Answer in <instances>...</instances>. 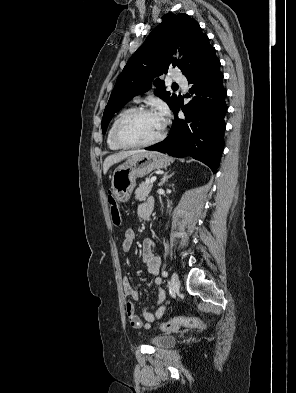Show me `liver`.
Returning a JSON list of instances; mask_svg holds the SVG:
<instances>
[{
    "instance_id": "obj_1",
    "label": "liver",
    "mask_w": 296,
    "mask_h": 393,
    "mask_svg": "<svg viewBox=\"0 0 296 393\" xmlns=\"http://www.w3.org/2000/svg\"><path fill=\"white\" fill-rule=\"evenodd\" d=\"M147 151L145 150H135V151H124V152H119L113 155L108 156L103 163V172L104 174L107 173L108 169L114 165L115 163H118L126 158H128L129 156L135 155V154H139V153H145Z\"/></svg>"
}]
</instances>
